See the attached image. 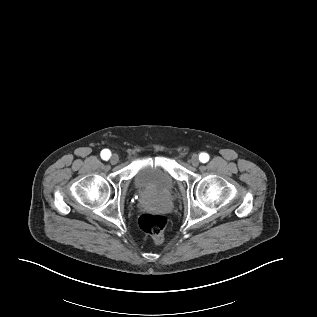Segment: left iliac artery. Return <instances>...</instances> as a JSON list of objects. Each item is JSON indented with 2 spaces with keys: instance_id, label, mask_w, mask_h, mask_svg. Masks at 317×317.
I'll list each match as a JSON object with an SVG mask.
<instances>
[{
  "instance_id": "44dca946",
  "label": "left iliac artery",
  "mask_w": 317,
  "mask_h": 317,
  "mask_svg": "<svg viewBox=\"0 0 317 317\" xmlns=\"http://www.w3.org/2000/svg\"><path fill=\"white\" fill-rule=\"evenodd\" d=\"M199 159L202 163H206L209 160V155L207 153H201Z\"/></svg>"
}]
</instances>
